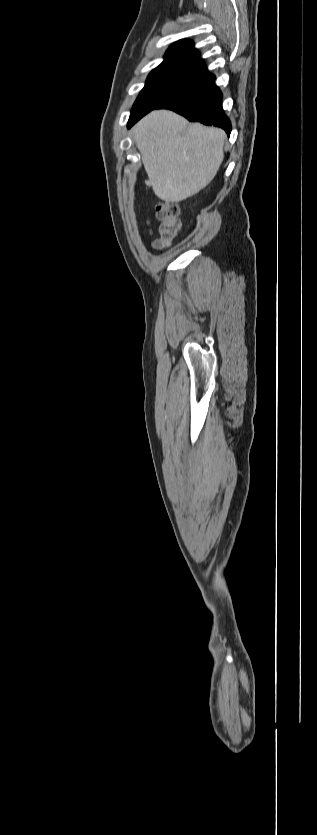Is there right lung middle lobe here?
<instances>
[{
	"mask_svg": "<svg viewBox=\"0 0 317 835\" xmlns=\"http://www.w3.org/2000/svg\"><path fill=\"white\" fill-rule=\"evenodd\" d=\"M206 81L191 60L158 66L149 74L145 87L133 106L128 127L152 109Z\"/></svg>",
	"mask_w": 317,
	"mask_h": 835,
	"instance_id": "obj_1",
	"label": "right lung middle lobe"
}]
</instances>
